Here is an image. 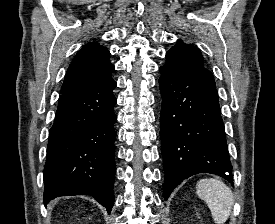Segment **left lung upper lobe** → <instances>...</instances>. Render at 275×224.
<instances>
[{
	"instance_id": "left-lung-upper-lobe-1",
	"label": "left lung upper lobe",
	"mask_w": 275,
	"mask_h": 224,
	"mask_svg": "<svg viewBox=\"0 0 275 224\" xmlns=\"http://www.w3.org/2000/svg\"><path fill=\"white\" fill-rule=\"evenodd\" d=\"M203 64V56L197 47L178 40L166 53V63L160 69L170 76L196 74L215 86L211 72Z\"/></svg>"
}]
</instances>
